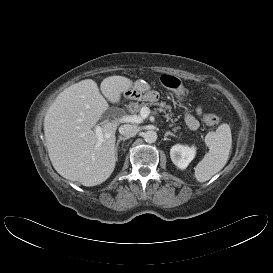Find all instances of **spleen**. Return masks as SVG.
Returning <instances> with one entry per match:
<instances>
[{
    "instance_id": "obj_1",
    "label": "spleen",
    "mask_w": 273,
    "mask_h": 273,
    "mask_svg": "<svg viewBox=\"0 0 273 273\" xmlns=\"http://www.w3.org/2000/svg\"><path fill=\"white\" fill-rule=\"evenodd\" d=\"M205 143L209 151L195 167V178L199 182L208 181L226 165L232 146L230 126L223 123L215 132H209Z\"/></svg>"
}]
</instances>
